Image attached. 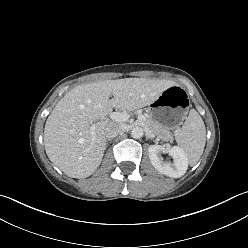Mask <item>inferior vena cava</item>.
Here are the masks:
<instances>
[{
	"label": "inferior vena cava",
	"instance_id": "obj_1",
	"mask_svg": "<svg viewBox=\"0 0 248 248\" xmlns=\"http://www.w3.org/2000/svg\"><path fill=\"white\" fill-rule=\"evenodd\" d=\"M122 131V126L115 123V124H109L106 128H105V136L108 139L114 138L116 137L120 132Z\"/></svg>",
	"mask_w": 248,
	"mask_h": 248
}]
</instances>
